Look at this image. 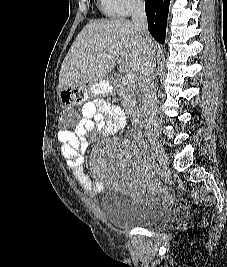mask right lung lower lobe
Returning a JSON list of instances; mask_svg holds the SVG:
<instances>
[{
    "instance_id": "1",
    "label": "right lung lower lobe",
    "mask_w": 227,
    "mask_h": 267,
    "mask_svg": "<svg viewBox=\"0 0 227 267\" xmlns=\"http://www.w3.org/2000/svg\"><path fill=\"white\" fill-rule=\"evenodd\" d=\"M170 0H145L148 30L156 41L163 44Z\"/></svg>"
}]
</instances>
